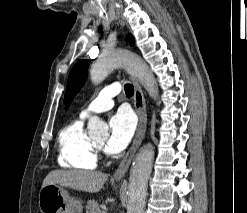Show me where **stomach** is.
Returning <instances> with one entry per match:
<instances>
[{
	"label": "stomach",
	"instance_id": "obj_1",
	"mask_svg": "<svg viewBox=\"0 0 247 213\" xmlns=\"http://www.w3.org/2000/svg\"><path fill=\"white\" fill-rule=\"evenodd\" d=\"M39 208L41 213H82V203L69 196L61 185L48 184L39 192Z\"/></svg>",
	"mask_w": 247,
	"mask_h": 213
}]
</instances>
